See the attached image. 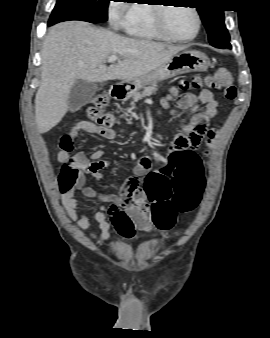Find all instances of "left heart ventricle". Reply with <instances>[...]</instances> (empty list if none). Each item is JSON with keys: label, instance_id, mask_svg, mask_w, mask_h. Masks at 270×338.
<instances>
[{"label": "left heart ventricle", "instance_id": "1", "mask_svg": "<svg viewBox=\"0 0 270 338\" xmlns=\"http://www.w3.org/2000/svg\"><path fill=\"white\" fill-rule=\"evenodd\" d=\"M165 19L169 31L176 37H190L196 30V16L188 7L168 8Z\"/></svg>", "mask_w": 270, "mask_h": 338}]
</instances>
